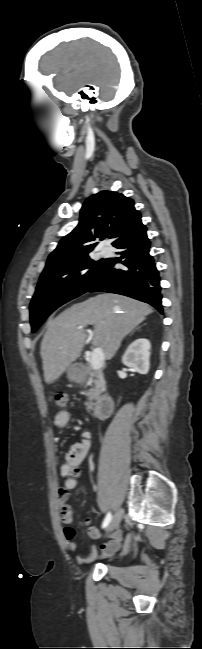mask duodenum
Here are the masks:
<instances>
[{
    "label": "duodenum",
    "mask_w": 202,
    "mask_h": 649,
    "mask_svg": "<svg viewBox=\"0 0 202 649\" xmlns=\"http://www.w3.org/2000/svg\"><path fill=\"white\" fill-rule=\"evenodd\" d=\"M113 400L110 396H101L94 407V413L97 417L105 419L108 418L113 412Z\"/></svg>",
    "instance_id": "1"
}]
</instances>
